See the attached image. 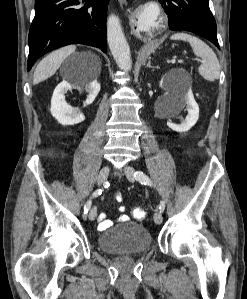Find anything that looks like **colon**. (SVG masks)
<instances>
[{
	"label": "colon",
	"mask_w": 247,
	"mask_h": 299,
	"mask_svg": "<svg viewBox=\"0 0 247 299\" xmlns=\"http://www.w3.org/2000/svg\"><path fill=\"white\" fill-rule=\"evenodd\" d=\"M117 193L120 196H122V194L120 192H117ZM132 216H133V218H135V219H137L139 221H142V220L145 219L146 214H145V211L143 209H141V208H134L132 210Z\"/></svg>",
	"instance_id": "1"
}]
</instances>
